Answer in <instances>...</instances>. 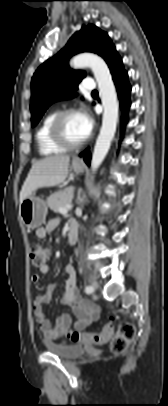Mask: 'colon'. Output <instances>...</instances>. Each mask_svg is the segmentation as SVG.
<instances>
[{
    "label": "colon",
    "mask_w": 168,
    "mask_h": 406,
    "mask_svg": "<svg viewBox=\"0 0 168 406\" xmlns=\"http://www.w3.org/2000/svg\"><path fill=\"white\" fill-rule=\"evenodd\" d=\"M29 254L31 263L35 267L44 266L49 257L48 249L40 244H32L29 249ZM63 332L73 343L100 345L110 340V349L115 354L124 352L136 334L134 325L129 322L121 323L115 335H112L111 324H107L99 333L80 332L73 329H63Z\"/></svg>",
    "instance_id": "colon-1"
}]
</instances>
